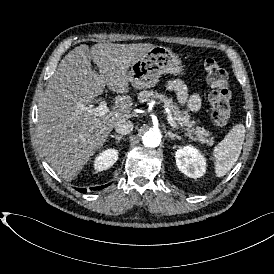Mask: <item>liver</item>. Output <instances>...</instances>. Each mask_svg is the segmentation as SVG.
<instances>
[{
  "instance_id": "1",
  "label": "liver",
  "mask_w": 274,
  "mask_h": 274,
  "mask_svg": "<svg viewBox=\"0 0 274 274\" xmlns=\"http://www.w3.org/2000/svg\"><path fill=\"white\" fill-rule=\"evenodd\" d=\"M150 43L81 44L61 60L38 103L37 137L43 155L66 181L77 177L122 120L132 117L129 67L144 59ZM91 60L99 68L92 70ZM105 86L121 94L110 113L96 117L81 109L101 95Z\"/></svg>"
}]
</instances>
